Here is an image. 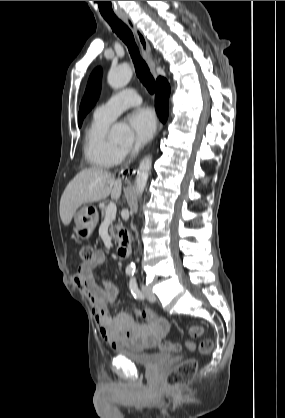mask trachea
Here are the masks:
<instances>
[{
	"label": "trachea",
	"instance_id": "3493384b",
	"mask_svg": "<svg viewBox=\"0 0 285 418\" xmlns=\"http://www.w3.org/2000/svg\"><path fill=\"white\" fill-rule=\"evenodd\" d=\"M104 19L108 22L111 26L112 30L117 34V36L122 39V41L127 45L131 58L133 60L136 74L143 85L147 88V90L153 94L155 92V80L150 73V70L145 63V61L141 58L139 49L135 43L133 33L124 24L119 18L117 17H107L103 16Z\"/></svg>",
	"mask_w": 285,
	"mask_h": 418
}]
</instances>
